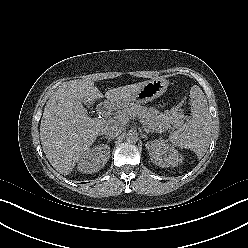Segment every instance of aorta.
Listing matches in <instances>:
<instances>
[{
    "mask_svg": "<svg viewBox=\"0 0 248 248\" xmlns=\"http://www.w3.org/2000/svg\"><path fill=\"white\" fill-rule=\"evenodd\" d=\"M139 139V136H138V133L136 131H129L127 134H126V140L129 142V143H135L137 142Z\"/></svg>",
    "mask_w": 248,
    "mask_h": 248,
    "instance_id": "obj_1",
    "label": "aorta"
}]
</instances>
